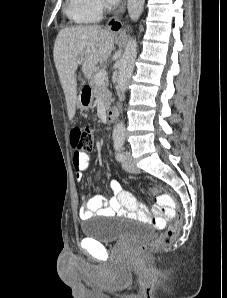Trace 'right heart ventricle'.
Returning a JSON list of instances; mask_svg holds the SVG:
<instances>
[{
    "instance_id": "obj_1",
    "label": "right heart ventricle",
    "mask_w": 227,
    "mask_h": 298,
    "mask_svg": "<svg viewBox=\"0 0 227 298\" xmlns=\"http://www.w3.org/2000/svg\"><path fill=\"white\" fill-rule=\"evenodd\" d=\"M64 13L78 24L91 23L98 18V13L94 12L85 0H67Z\"/></svg>"
}]
</instances>
